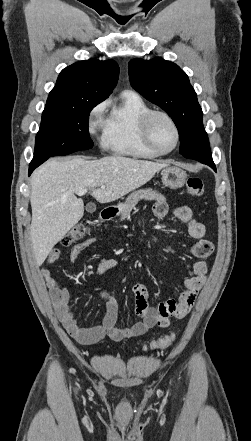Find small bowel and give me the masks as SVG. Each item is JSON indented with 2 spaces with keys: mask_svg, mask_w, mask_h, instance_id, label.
I'll use <instances>...</instances> for the list:
<instances>
[{
  "mask_svg": "<svg viewBox=\"0 0 251 441\" xmlns=\"http://www.w3.org/2000/svg\"><path fill=\"white\" fill-rule=\"evenodd\" d=\"M153 211L157 217L163 218L168 214V206L164 201L158 200ZM172 213L178 220L187 225L189 235L196 240L190 248L191 255L198 259L192 266L193 274L184 279V290L178 300L168 299L159 303L156 307L149 305L145 286L141 283L134 284L131 291L134 296L135 310L141 321L128 328L118 326L119 304L106 289L99 292L100 297L106 301V312L101 324L80 326L69 306L70 293L68 288L54 279L49 270V266L59 259L60 251L58 248H54L50 252L45 265L39 271L40 277L48 290L64 328L78 343L91 345L100 343L105 338L121 341L126 338L138 337L156 326L166 328L170 325L171 318L182 319L191 311L198 292L205 284L208 272L206 259L213 253L214 245L204 238L205 226L194 217L189 206L177 207ZM95 242L96 238H88L75 245L70 252V261L74 262L84 250ZM118 264L115 258H103L97 263L95 274L102 275L116 268Z\"/></svg>",
  "mask_w": 251,
  "mask_h": 441,
  "instance_id": "1",
  "label": "small bowel"
}]
</instances>
